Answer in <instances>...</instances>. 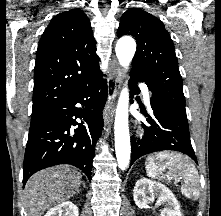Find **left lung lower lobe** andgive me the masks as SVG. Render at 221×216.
<instances>
[{"label":"left lung lower lobe","mask_w":221,"mask_h":216,"mask_svg":"<svg viewBox=\"0 0 221 216\" xmlns=\"http://www.w3.org/2000/svg\"><path fill=\"white\" fill-rule=\"evenodd\" d=\"M130 76L131 93L137 94L140 90L136 83H146V81L136 72H131ZM150 104L152 110L151 115L147 114L146 111L141 110V112L147 117V122L150 124V126L144 125L145 135L143 139L131 138V165L141 156L163 150L182 152L190 156L197 163L190 141L187 120L181 118L178 114L167 108L156 96L153 95V92Z\"/></svg>","instance_id":"obj_1"}]
</instances>
